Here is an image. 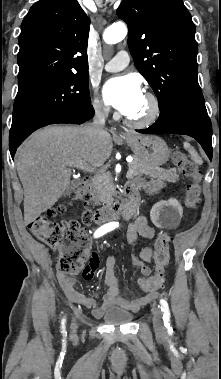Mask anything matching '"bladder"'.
<instances>
[{"label":"bladder","mask_w":221,"mask_h":379,"mask_svg":"<svg viewBox=\"0 0 221 379\" xmlns=\"http://www.w3.org/2000/svg\"><path fill=\"white\" fill-rule=\"evenodd\" d=\"M104 322L112 325H121L130 323L133 320V315L122 308H109L103 315Z\"/></svg>","instance_id":"1"}]
</instances>
